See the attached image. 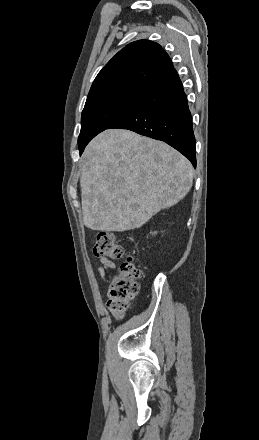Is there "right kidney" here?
Listing matches in <instances>:
<instances>
[{
	"label": "right kidney",
	"mask_w": 259,
	"mask_h": 440,
	"mask_svg": "<svg viewBox=\"0 0 259 440\" xmlns=\"http://www.w3.org/2000/svg\"><path fill=\"white\" fill-rule=\"evenodd\" d=\"M157 232H153L152 234L155 235Z\"/></svg>",
	"instance_id": "right-kidney-1"
}]
</instances>
